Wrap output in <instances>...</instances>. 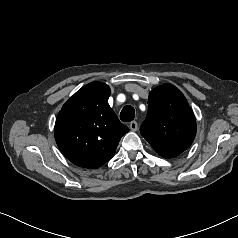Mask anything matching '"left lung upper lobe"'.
Here are the masks:
<instances>
[{
	"label": "left lung upper lobe",
	"instance_id": "1",
	"mask_svg": "<svg viewBox=\"0 0 238 238\" xmlns=\"http://www.w3.org/2000/svg\"><path fill=\"white\" fill-rule=\"evenodd\" d=\"M140 132L164 158L176 157L189 148L195 138L196 121L179 89L164 84L150 92L148 113Z\"/></svg>",
	"mask_w": 238,
	"mask_h": 238
}]
</instances>
